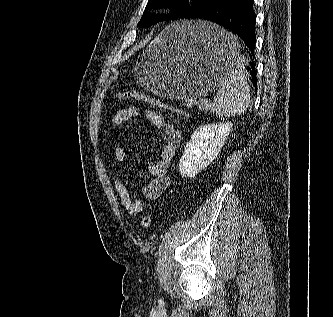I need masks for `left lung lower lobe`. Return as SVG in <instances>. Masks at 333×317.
<instances>
[{
    "label": "left lung lower lobe",
    "mask_w": 333,
    "mask_h": 317,
    "mask_svg": "<svg viewBox=\"0 0 333 317\" xmlns=\"http://www.w3.org/2000/svg\"><path fill=\"white\" fill-rule=\"evenodd\" d=\"M253 4L254 0H213L207 6L190 13L187 19L206 20L237 34L254 56L256 14ZM247 69L252 76L253 86L257 87L255 64L250 63Z\"/></svg>",
    "instance_id": "1"
}]
</instances>
